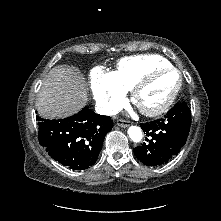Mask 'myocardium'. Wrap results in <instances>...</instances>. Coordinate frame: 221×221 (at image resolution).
Segmentation results:
<instances>
[{
	"label": "myocardium",
	"mask_w": 221,
	"mask_h": 221,
	"mask_svg": "<svg viewBox=\"0 0 221 221\" xmlns=\"http://www.w3.org/2000/svg\"><path fill=\"white\" fill-rule=\"evenodd\" d=\"M166 72H174V73L177 74V77H178L177 85L174 88V90L171 93V95L168 97V99L163 104H161L160 106H158L156 108H145V107H142L138 103V96L141 93V91L144 88H146L157 76H159L162 73H166ZM182 82L183 81H182L181 72L177 68H175L173 66H163V67H158V68L152 69L151 71L146 73L135 84V86L131 90L132 102L137 106L139 111L142 114H144L145 116H149V117L159 116V115L163 114L164 112H166L172 106V104L175 102V100L178 97V94H179V92L181 90Z\"/></svg>",
	"instance_id": "f54148a6"
}]
</instances>
